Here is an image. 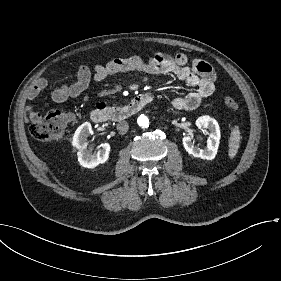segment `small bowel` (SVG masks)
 <instances>
[{"mask_svg": "<svg viewBox=\"0 0 281 281\" xmlns=\"http://www.w3.org/2000/svg\"><path fill=\"white\" fill-rule=\"evenodd\" d=\"M141 71L148 74H172L184 81L194 90L186 95L175 97L171 104L176 110L191 111L196 109L201 102L212 95L215 89L217 75L213 67L204 60L190 58L184 53L173 55L156 53L149 57L133 55L126 58H118L98 64L94 67L93 76L87 66L81 65L77 71V80L72 84L57 87L52 92L53 101L60 103L70 98L81 95L89 86L91 78L97 82L104 80L107 76L129 72ZM46 87V81L40 79L29 89L27 96L34 99ZM39 115L31 106L26 109V119L35 120Z\"/></svg>", "mask_w": 281, "mask_h": 281, "instance_id": "obj_1", "label": "small bowel"}]
</instances>
